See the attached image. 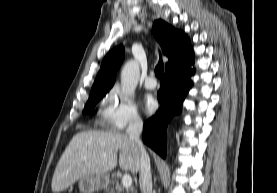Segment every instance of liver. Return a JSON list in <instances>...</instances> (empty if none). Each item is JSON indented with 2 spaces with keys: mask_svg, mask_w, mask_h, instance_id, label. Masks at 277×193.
<instances>
[{
  "mask_svg": "<svg viewBox=\"0 0 277 193\" xmlns=\"http://www.w3.org/2000/svg\"><path fill=\"white\" fill-rule=\"evenodd\" d=\"M118 151L120 168L136 174L140 170V154L127 134L104 131L77 133L55 168L52 191L61 192L82 177L100 176L113 170L117 165Z\"/></svg>",
  "mask_w": 277,
  "mask_h": 193,
  "instance_id": "6515ba94",
  "label": "liver"
}]
</instances>
